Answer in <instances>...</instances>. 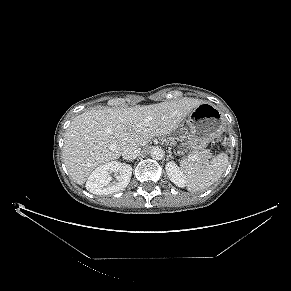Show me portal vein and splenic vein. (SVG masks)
I'll return each instance as SVG.
<instances>
[{
  "mask_svg": "<svg viewBox=\"0 0 291 291\" xmlns=\"http://www.w3.org/2000/svg\"><path fill=\"white\" fill-rule=\"evenodd\" d=\"M188 158L192 161H197L198 157H196L195 155H188Z\"/></svg>",
  "mask_w": 291,
  "mask_h": 291,
  "instance_id": "1",
  "label": "portal vein and splenic vein"
}]
</instances>
